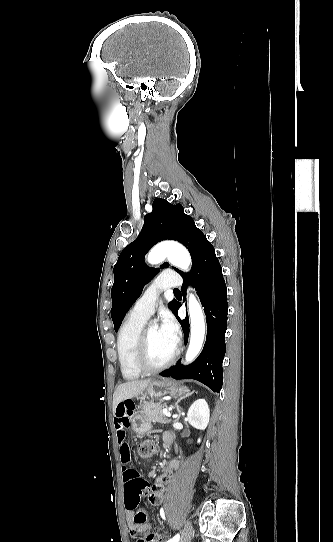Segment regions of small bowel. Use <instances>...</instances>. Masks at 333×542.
<instances>
[{"label":"small bowel","mask_w":333,"mask_h":542,"mask_svg":"<svg viewBox=\"0 0 333 542\" xmlns=\"http://www.w3.org/2000/svg\"><path fill=\"white\" fill-rule=\"evenodd\" d=\"M133 402L131 400H121L118 407L115 410L114 416V426H115V435L117 448L123 462H127L130 458V443L128 439V427L130 421L132 420L133 413ZM164 436V441L166 444H170V441ZM179 462L178 460H173L165 470V472L157 477L156 486L158 488L162 487L165 483L169 482L172 478L173 472L178 469ZM130 470L123 468V479L125 483H128L130 480ZM128 495L130 491L127 489ZM164 495L163 492L159 489L152 492L149 496V501L152 505H160L163 501ZM138 511L133 514L131 509H128L125 514V519H129L128 528L132 535L137 536L139 534H145L151 528L149 523H139L137 522ZM161 540L162 537L160 534L155 533Z\"/></svg>","instance_id":"small-bowel-1"}]
</instances>
